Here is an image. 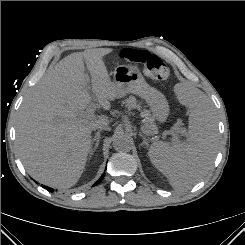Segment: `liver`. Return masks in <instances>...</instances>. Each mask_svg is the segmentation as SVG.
<instances>
[{
	"label": "liver",
	"mask_w": 245,
	"mask_h": 245,
	"mask_svg": "<svg viewBox=\"0 0 245 245\" xmlns=\"http://www.w3.org/2000/svg\"><path fill=\"white\" fill-rule=\"evenodd\" d=\"M113 49L72 53L50 67L24 98L16 121V148L36 181L70 188L81 177L91 149L93 125H108L109 117L89 116L90 90L104 109L118 98L103 57ZM91 76V84L85 73Z\"/></svg>",
	"instance_id": "obj_1"
}]
</instances>
